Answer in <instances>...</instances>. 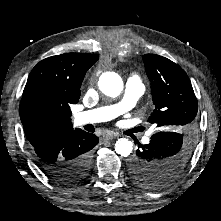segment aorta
<instances>
[{
    "instance_id": "aorta-1",
    "label": "aorta",
    "mask_w": 221,
    "mask_h": 221,
    "mask_svg": "<svg viewBox=\"0 0 221 221\" xmlns=\"http://www.w3.org/2000/svg\"><path fill=\"white\" fill-rule=\"evenodd\" d=\"M99 89L109 97H117L123 90V81L115 72H105L99 78ZM133 150L132 142L127 138H120L115 143V151L123 157H127Z\"/></svg>"
}]
</instances>
